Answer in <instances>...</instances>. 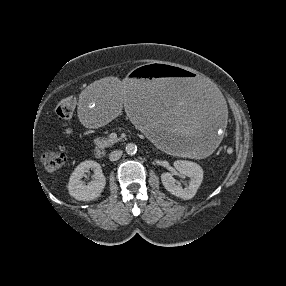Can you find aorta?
<instances>
[{
  "instance_id": "1",
  "label": "aorta",
  "mask_w": 286,
  "mask_h": 286,
  "mask_svg": "<svg viewBox=\"0 0 286 286\" xmlns=\"http://www.w3.org/2000/svg\"><path fill=\"white\" fill-rule=\"evenodd\" d=\"M125 151L127 154L129 155H133L136 153L137 151V146L134 143H128L125 147Z\"/></svg>"
}]
</instances>
